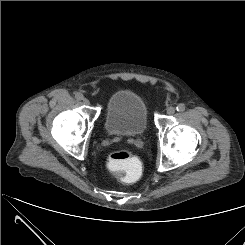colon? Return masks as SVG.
I'll use <instances>...</instances> for the list:
<instances>
[{"mask_svg": "<svg viewBox=\"0 0 245 245\" xmlns=\"http://www.w3.org/2000/svg\"><path fill=\"white\" fill-rule=\"evenodd\" d=\"M107 165L110 169L123 172L122 181L126 184L135 183L139 178L140 162L126 150H117L112 152Z\"/></svg>", "mask_w": 245, "mask_h": 245, "instance_id": "obj_1", "label": "colon"}]
</instances>
